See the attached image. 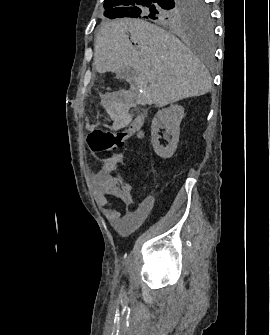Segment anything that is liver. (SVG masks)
I'll return each mask as SVG.
<instances>
[{"label": "liver", "instance_id": "liver-1", "mask_svg": "<svg viewBox=\"0 0 270 335\" xmlns=\"http://www.w3.org/2000/svg\"><path fill=\"white\" fill-rule=\"evenodd\" d=\"M94 66L99 74L130 66L144 104L158 108L203 96L211 88L208 70L189 48L163 28L138 18L103 24L95 40Z\"/></svg>", "mask_w": 270, "mask_h": 335}]
</instances>
